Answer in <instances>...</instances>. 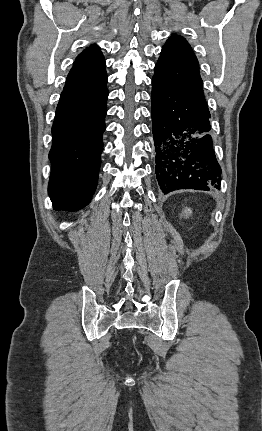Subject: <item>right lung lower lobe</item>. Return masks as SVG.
<instances>
[{
	"label": "right lung lower lobe",
	"instance_id": "98d812e1",
	"mask_svg": "<svg viewBox=\"0 0 262 431\" xmlns=\"http://www.w3.org/2000/svg\"><path fill=\"white\" fill-rule=\"evenodd\" d=\"M108 89L63 91L52 126L48 192L54 210L77 211L97 187Z\"/></svg>",
	"mask_w": 262,
	"mask_h": 431
}]
</instances>
